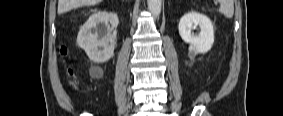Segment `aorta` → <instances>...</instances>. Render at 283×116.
I'll list each match as a JSON object with an SVG mask.
<instances>
[{"instance_id": "obj_1", "label": "aorta", "mask_w": 283, "mask_h": 116, "mask_svg": "<svg viewBox=\"0 0 283 116\" xmlns=\"http://www.w3.org/2000/svg\"><path fill=\"white\" fill-rule=\"evenodd\" d=\"M148 10L153 16H159L161 13L162 0H147Z\"/></svg>"}]
</instances>
